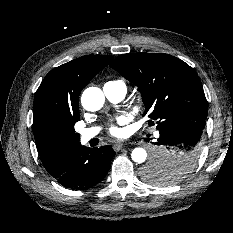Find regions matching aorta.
<instances>
[{
    "instance_id": "aorta-1",
    "label": "aorta",
    "mask_w": 233,
    "mask_h": 233,
    "mask_svg": "<svg viewBox=\"0 0 233 233\" xmlns=\"http://www.w3.org/2000/svg\"><path fill=\"white\" fill-rule=\"evenodd\" d=\"M105 102V97L102 92L97 87H89L87 88L82 96H81V103L84 109L88 111H98L100 110ZM132 160L136 163H143L147 158V152L143 148H135L131 153Z\"/></svg>"
}]
</instances>
